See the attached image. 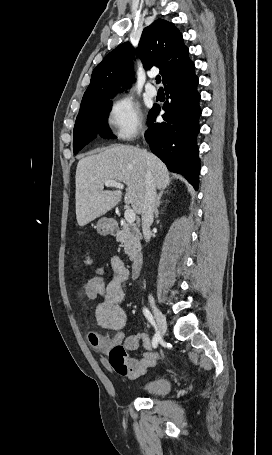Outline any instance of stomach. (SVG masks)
<instances>
[{"label":"stomach","instance_id":"stomach-1","mask_svg":"<svg viewBox=\"0 0 272 455\" xmlns=\"http://www.w3.org/2000/svg\"><path fill=\"white\" fill-rule=\"evenodd\" d=\"M113 228H114V224L111 219L101 218L98 221L97 232L100 235H103V236L108 235L109 233H111L113 231Z\"/></svg>","mask_w":272,"mask_h":455}]
</instances>
